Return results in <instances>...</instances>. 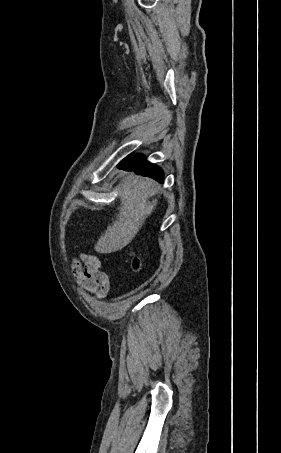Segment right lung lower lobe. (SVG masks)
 I'll list each match as a JSON object with an SVG mask.
<instances>
[{"instance_id": "1", "label": "right lung lower lobe", "mask_w": 281, "mask_h": 453, "mask_svg": "<svg viewBox=\"0 0 281 453\" xmlns=\"http://www.w3.org/2000/svg\"><path fill=\"white\" fill-rule=\"evenodd\" d=\"M118 168L126 171H134L136 174L148 176L161 183L163 182L162 170L156 165L147 162L145 157L140 154L128 156L118 164Z\"/></svg>"}]
</instances>
